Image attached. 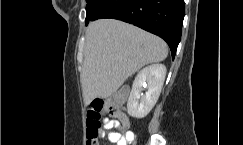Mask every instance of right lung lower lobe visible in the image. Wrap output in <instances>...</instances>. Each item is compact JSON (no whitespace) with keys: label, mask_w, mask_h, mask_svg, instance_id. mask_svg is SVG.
<instances>
[{"label":"right lung lower lobe","mask_w":243,"mask_h":145,"mask_svg":"<svg viewBox=\"0 0 243 145\" xmlns=\"http://www.w3.org/2000/svg\"><path fill=\"white\" fill-rule=\"evenodd\" d=\"M184 14V0H93L85 22L114 18L136 25L163 38L174 59Z\"/></svg>","instance_id":"obj_1"}]
</instances>
